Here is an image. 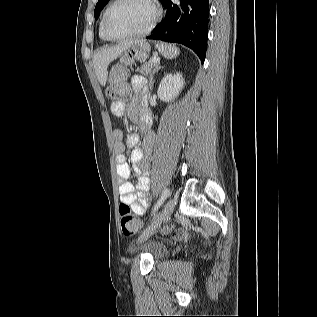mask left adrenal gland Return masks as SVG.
Masks as SVG:
<instances>
[{
	"mask_svg": "<svg viewBox=\"0 0 317 317\" xmlns=\"http://www.w3.org/2000/svg\"><path fill=\"white\" fill-rule=\"evenodd\" d=\"M162 68V66H160L159 64L156 65L155 69L153 70L152 74L150 75V81H149V86H150V90L152 91L153 89V75L155 74V72H157L158 70H160Z\"/></svg>",
	"mask_w": 317,
	"mask_h": 317,
	"instance_id": "obj_1",
	"label": "left adrenal gland"
}]
</instances>
